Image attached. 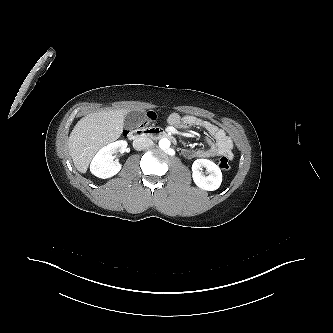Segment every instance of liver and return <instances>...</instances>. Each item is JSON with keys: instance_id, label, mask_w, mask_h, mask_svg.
<instances>
[{"instance_id": "obj_1", "label": "liver", "mask_w": 333, "mask_h": 333, "mask_svg": "<svg viewBox=\"0 0 333 333\" xmlns=\"http://www.w3.org/2000/svg\"><path fill=\"white\" fill-rule=\"evenodd\" d=\"M126 116V110H103L78 121L70 134L69 148L79 172L86 173L97 151L120 137Z\"/></svg>"}]
</instances>
